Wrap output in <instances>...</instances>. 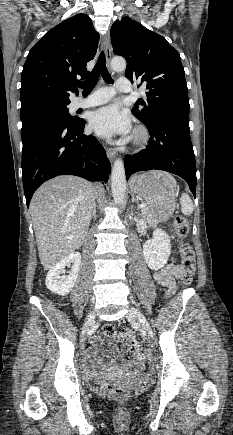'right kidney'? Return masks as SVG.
<instances>
[{"label": "right kidney", "mask_w": 233, "mask_h": 435, "mask_svg": "<svg viewBox=\"0 0 233 435\" xmlns=\"http://www.w3.org/2000/svg\"><path fill=\"white\" fill-rule=\"evenodd\" d=\"M72 264L68 276H60L66 266ZM81 264V254L73 252L57 264L48 272L45 280L46 287L54 294L65 296L75 285Z\"/></svg>", "instance_id": "1"}]
</instances>
